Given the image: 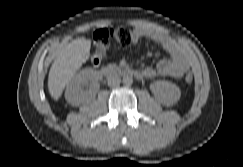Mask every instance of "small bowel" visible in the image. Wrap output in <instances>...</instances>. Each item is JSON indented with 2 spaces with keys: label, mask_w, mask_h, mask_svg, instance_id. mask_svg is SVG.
Returning a JSON list of instances; mask_svg holds the SVG:
<instances>
[{
  "label": "small bowel",
  "mask_w": 243,
  "mask_h": 167,
  "mask_svg": "<svg viewBox=\"0 0 243 167\" xmlns=\"http://www.w3.org/2000/svg\"><path fill=\"white\" fill-rule=\"evenodd\" d=\"M149 39L158 44L168 55L161 59L155 67H145L142 72L145 78L172 77L181 78L189 69V61L184 50L173 39L161 31L139 26L134 29L135 42Z\"/></svg>",
  "instance_id": "c3829d8e"
}]
</instances>
